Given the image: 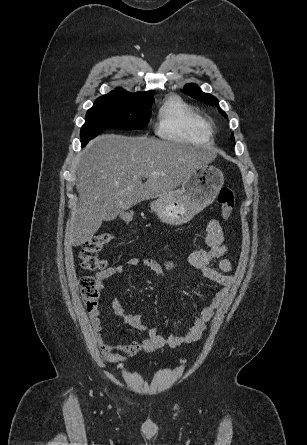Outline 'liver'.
<instances>
[{
    "label": "liver",
    "mask_w": 307,
    "mask_h": 445,
    "mask_svg": "<svg viewBox=\"0 0 307 445\" xmlns=\"http://www.w3.org/2000/svg\"><path fill=\"white\" fill-rule=\"evenodd\" d=\"M215 158L201 146L159 138L100 134L78 162L79 200L70 220L67 243L79 247L111 220L141 200L178 190L194 168ZM165 174H151V172ZM146 176V182H142Z\"/></svg>",
    "instance_id": "1"
}]
</instances>
